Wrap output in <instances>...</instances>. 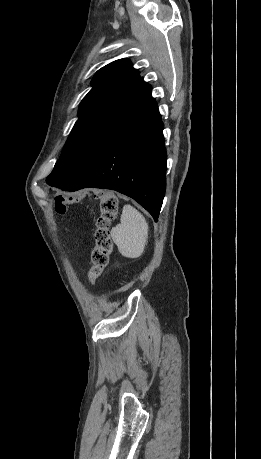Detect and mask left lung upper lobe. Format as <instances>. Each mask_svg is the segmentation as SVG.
Wrapping results in <instances>:
<instances>
[{"instance_id":"obj_1","label":"left lung upper lobe","mask_w":261,"mask_h":459,"mask_svg":"<svg viewBox=\"0 0 261 459\" xmlns=\"http://www.w3.org/2000/svg\"><path fill=\"white\" fill-rule=\"evenodd\" d=\"M83 98L79 119L46 182L57 187L88 162L151 96V86L128 59L102 67Z\"/></svg>"}]
</instances>
